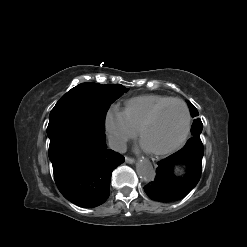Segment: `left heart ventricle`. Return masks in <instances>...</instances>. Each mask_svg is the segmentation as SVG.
Masks as SVG:
<instances>
[{
    "label": "left heart ventricle",
    "mask_w": 247,
    "mask_h": 247,
    "mask_svg": "<svg viewBox=\"0 0 247 247\" xmlns=\"http://www.w3.org/2000/svg\"><path fill=\"white\" fill-rule=\"evenodd\" d=\"M185 119V111L181 104L167 105L143 133V144L149 150H162L172 146L184 131Z\"/></svg>",
    "instance_id": "b2bd125f"
}]
</instances>
